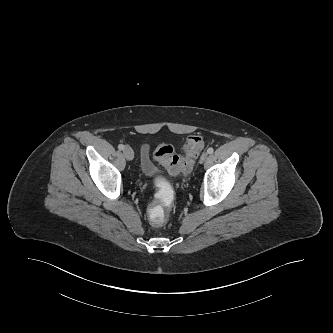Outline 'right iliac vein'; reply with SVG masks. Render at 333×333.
<instances>
[{"mask_svg": "<svg viewBox=\"0 0 333 333\" xmlns=\"http://www.w3.org/2000/svg\"><path fill=\"white\" fill-rule=\"evenodd\" d=\"M123 154H124V156H125V158L127 159V160H132L133 158H134V151H133V149L132 148H130V147H126V148H124V150H123Z\"/></svg>", "mask_w": 333, "mask_h": 333, "instance_id": "1", "label": "right iliac vein"}]
</instances>
